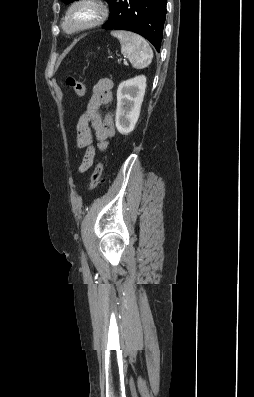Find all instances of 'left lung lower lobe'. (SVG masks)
<instances>
[{
    "mask_svg": "<svg viewBox=\"0 0 254 397\" xmlns=\"http://www.w3.org/2000/svg\"><path fill=\"white\" fill-rule=\"evenodd\" d=\"M103 29L136 32L149 40L159 52L166 17V0H113Z\"/></svg>",
    "mask_w": 254,
    "mask_h": 397,
    "instance_id": "1",
    "label": "left lung lower lobe"
}]
</instances>
